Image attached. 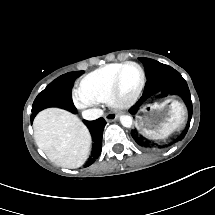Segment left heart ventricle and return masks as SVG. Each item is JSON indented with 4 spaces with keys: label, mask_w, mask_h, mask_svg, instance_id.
Segmentation results:
<instances>
[{
    "label": "left heart ventricle",
    "mask_w": 215,
    "mask_h": 215,
    "mask_svg": "<svg viewBox=\"0 0 215 215\" xmlns=\"http://www.w3.org/2000/svg\"><path fill=\"white\" fill-rule=\"evenodd\" d=\"M120 78V88L126 89L130 94H132L139 75L137 70L132 66H127L122 68V72L119 74Z\"/></svg>",
    "instance_id": "obj_1"
}]
</instances>
